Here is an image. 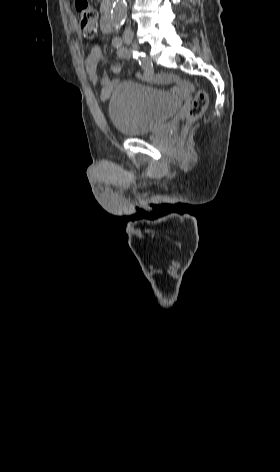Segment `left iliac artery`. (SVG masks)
Masks as SVG:
<instances>
[{
    "label": "left iliac artery",
    "mask_w": 280,
    "mask_h": 472,
    "mask_svg": "<svg viewBox=\"0 0 280 472\" xmlns=\"http://www.w3.org/2000/svg\"><path fill=\"white\" fill-rule=\"evenodd\" d=\"M120 26H116V33L119 32ZM112 44L116 48H120L122 46V39L119 35H116L112 41Z\"/></svg>",
    "instance_id": "44dca946"
}]
</instances>
